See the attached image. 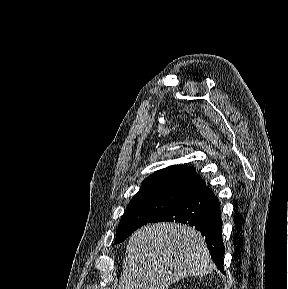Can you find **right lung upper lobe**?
Wrapping results in <instances>:
<instances>
[{
	"label": "right lung upper lobe",
	"mask_w": 288,
	"mask_h": 289,
	"mask_svg": "<svg viewBox=\"0 0 288 289\" xmlns=\"http://www.w3.org/2000/svg\"><path fill=\"white\" fill-rule=\"evenodd\" d=\"M201 180L192 166H169L144 179L140 191L153 188H175L188 191Z\"/></svg>",
	"instance_id": "1"
}]
</instances>
